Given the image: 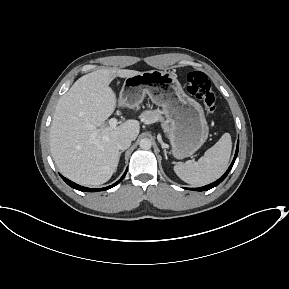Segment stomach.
<instances>
[{
  "label": "stomach",
  "instance_id": "stomach-1",
  "mask_svg": "<svg viewBox=\"0 0 289 289\" xmlns=\"http://www.w3.org/2000/svg\"><path fill=\"white\" fill-rule=\"evenodd\" d=\"M171 123L168 138L177 159L193 155L207 140L209 127L202 106L189 97L171 71L151 70L125 79L119 103L128 108L140 105L145 95Z\"/></svg>",
  "mask_w": 289,
  "mask_h": 289
}]
</instances>
